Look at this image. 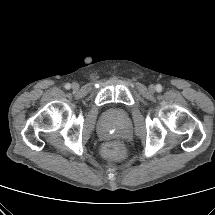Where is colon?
<instances>
[{"label":"colon","instance_id":"obj_1","mask_svg":"<svg viewBox=\"0 0 215 215\" xmlns=\"http://www.w3.org/2000/svg\"><path fill=\"white\" fill-rule=\"evenodd\" d=\"M103 153L108 158L121 159L125 155V149L119 142H110L104 146Z\"/></svg>","mask_w":215,"mask_h":215}]
</instances>
